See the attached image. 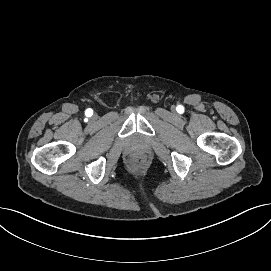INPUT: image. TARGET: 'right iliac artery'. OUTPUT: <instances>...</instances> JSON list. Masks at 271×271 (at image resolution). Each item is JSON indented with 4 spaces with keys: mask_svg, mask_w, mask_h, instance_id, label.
I'll list each match as a JSON object with an SVG mask.
<instances>
[{
    "mask_svg": "<svg viewBox=\"0 0 271 271\" xmlns=\"http://www.w3.org/2000/svg\"><path fill=\"white\" fill-rule=\"evenodd\" d=\"M86 114H88V115L91 116L93 114V110L92 109H87L86 110Z\"/></svg>",
    "mask_w": 271,
    "mask_h": 271,
    "instance_id": "82829eb1",
    "label": "right iliac artery"
}]
</instances>
